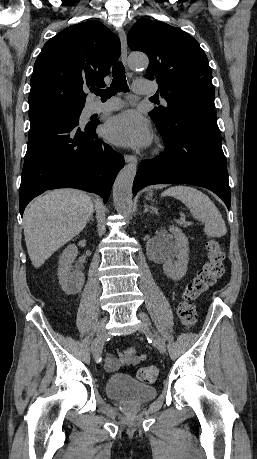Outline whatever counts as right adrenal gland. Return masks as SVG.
I'll use <instances>...</instances> for the list:
<instances>
[{"label":"right adrenal gland","mask_w":257,"mask_h":459,"mask_svg":"<svg viewBox=\"0 0 257 459\" xmlns=\"http://www.w3.org/2000/svg\"><path fill=\"white\" fill-rule=\"evenodd\" d=\"M90 220H91V221H93V220H94V218H93V213L91 214V216H90V218H89V220H88V221H90Z\"/></svg>","instance_id":"right-adrenal-gland-1"}]
</instances>
